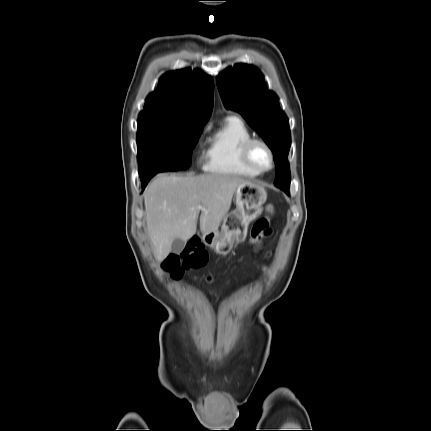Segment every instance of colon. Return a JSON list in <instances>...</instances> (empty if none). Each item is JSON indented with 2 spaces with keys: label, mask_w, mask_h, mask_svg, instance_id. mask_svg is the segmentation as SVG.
Listing matches in <instances>:
<instances>
[{
  "label": "colon",
  "mask_w": 431,
  "mask_h": 431,
  "mask_svg": "<svg viewBox=\"0 0 431 431\" xmlns=\"http://www.w3.org/2000/svg\"><path fill=\"white\" fill-rule=\"evenodd\" d=\"M269 216L257 220L251 229L249 236L250 242H255L256 238H262L270 231V218L274 214V207L271 204L266 206ZM207 260V254L201 245L196 242H190L187 247L180 253L170 254L164 262L167 271L178 278L181 277L185 270L201 267Z\"/></svg>",
  "instance_id": "obj_1"
}]
</instances>
